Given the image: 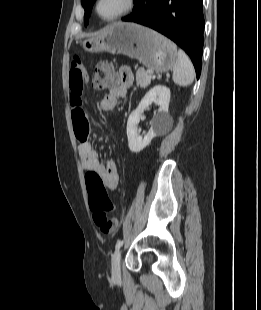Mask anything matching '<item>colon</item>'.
Listing matches in <instances>:
<instances>
[{"instance_id": "5ec220e1", "label": "colon", "mask_w": 261, "mask_h": 310, "mask_svg": "<svg viewBox=\"0 0 261 310\" xmlns=\"http://www.w3.org/2000/svg\"><path fill=\"white\" fill-rule=\"evenodd\" d=\"M117 78L113 66L108 61L99 62L92 78V87L101 92L109 87L115 86ZM89 205L93 212V220L100 231L104 234L112 233L117 228L115 218L108 216V212L114 209L101 176L95 171H88L85 175Z\"/></svg>"}]
</instances>
